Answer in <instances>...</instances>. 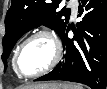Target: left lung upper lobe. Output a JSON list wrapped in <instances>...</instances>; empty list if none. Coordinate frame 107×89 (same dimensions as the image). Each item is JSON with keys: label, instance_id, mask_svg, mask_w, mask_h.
Wrapping results in <instances>:
<instances>
[{"label": "left lung upper lobe", "instance_id": "obj_1", "mask_svg": "<svg viewBox=\"0 0 107 89\" xmlns=\"http://www.w3.org/2000/svg\"><path fill=\"white\" fill-rule=\"evenodd\" d=\"M61 0H12L5 18L6 34L3 38L2 60L5 68L7 58L16 41L27 31L45 25L59 36L65 31L69 11L60 12L57 8Z\"/></svg>", "mask_w": 107, "mask_h": 89}]
</instances>
